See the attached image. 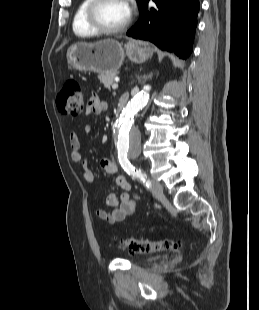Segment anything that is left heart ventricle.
Segmentation results:
<instances>
[{
    "label": "left heart ventricle",
    "mask_w": 259,
    "mask_h": 310,
    "mask_svg": "<svg viewBox=\"0 0 259 310\" xmlns=\"http://www.w3.org/2000/svg\"><path fill=\"white\" fill-rule=\"evenodd\" d=\"M98 21L105 27L115 28L122 25L128 18L122 0H105L97 9Z\"/></svg>",
    "instance_id": "1"
}]
</instances>
